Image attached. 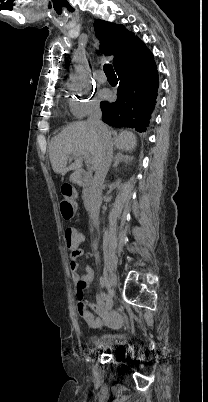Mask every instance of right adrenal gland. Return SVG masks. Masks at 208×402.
I'll return each instance as SVG.
<instances>
[{
	"mask_svg": "<svg viewBox=\"0 0 208 402\" xmlns=\"http://www.w3.org/2000/svg\"><path fill=\"white\" fill-rule=\"evenodd\" d=\"M127 158L128 156H123V154H117V156H114L113 158V168H115V166H118L119 162H127Z\"/></svg>",
	"mask_w": 208,
	"mask_h": 402,
	"instance_id": "right-adrenal-gland-1",
	"label": "right adrenal gland"
}]
</instances>
